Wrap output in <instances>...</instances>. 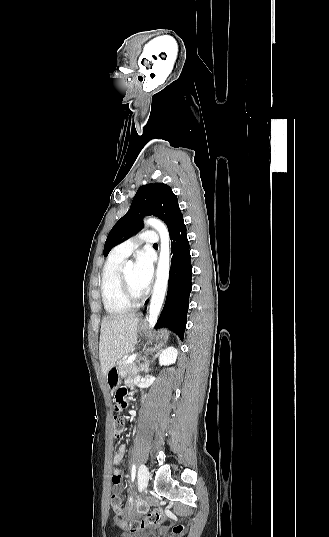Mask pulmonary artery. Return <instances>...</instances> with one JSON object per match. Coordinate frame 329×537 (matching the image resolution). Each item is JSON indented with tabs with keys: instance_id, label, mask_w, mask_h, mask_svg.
<instances>
[{
	"instance_id": "obj_1",
	"label": "pulmonary artery",
	"mask_w": 329,
	"mask_h": 537,
	"mask_svg": "<svg viewBox=\"0 0 329 537\" xmlns=\"http://www.w3.org/2000/svg\"><path fill=\"white\" fill-rule=\"evenodd\" d=\"M159 242V235L155 231H145L137 237L130 238L113 249V254L122 258L128 257L139 245H156Z\"/></svg>"
}]
</instances>
